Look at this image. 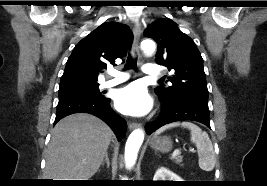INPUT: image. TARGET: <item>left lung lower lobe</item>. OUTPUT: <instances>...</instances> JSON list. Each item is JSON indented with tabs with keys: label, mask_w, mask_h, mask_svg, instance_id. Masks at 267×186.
Segmentation results:
<instances>
[{
	"label": "left lung lower lobe",
	"mask_w": 267,
	"mask_h": 186,
	"mask_svg": "<svg viewBox=\"0 0 267 186\" xmlns=\"http://www.w3.org/2000/svg\"><path fill=\"white\" fill-rule=\"evenodd\" d=\"M183 120L200 122L210 128L208 104L199 101H181L176 104L162 103V112L157 120L145 126L150 135L160 127Z\"/></svg>",
	"instance_id": "0a47b994"
}]
</instances>
